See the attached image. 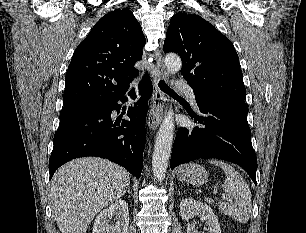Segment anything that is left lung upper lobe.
Returning a JSON list of instances; mask_svg holds the SVG:
<instances>
[{"instance_id": "left-lung-upper-lobe-1", "label": "left lung upper lobe", "mask_w": 306, "mask_h": 233, "mask_svg": "<svg viewBox=\"0 0 306 233\" xmlns=\"http://www.w3.org/2000/svg\"><path fill=\"white\" fill-rule=\"evenodd\" d=\"M163 49L181 57V75L195 98L245 104L246 90L236 50L209 22L196 14L177 13L170 19Z\"/></svg>"}]
</instances>
